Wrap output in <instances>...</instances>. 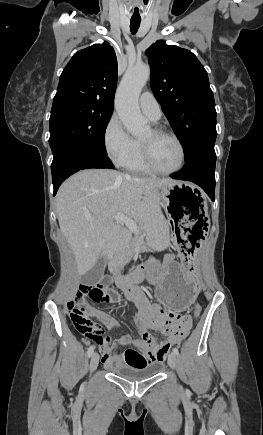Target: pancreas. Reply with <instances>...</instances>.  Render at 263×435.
I'll list each match as a JSON object with an SVG mask.
<instances>
[{
	"instance_id": "pancreas-1",
	"label": "pancreas",
	"mask_w": 263,
	"mask_h": 435,
	"mask_svg": "<svg viewBox=\"0 0 263 435\" xmlns=\"http://www.w3.org/2000/svg\"><path fill=\"white\" fill-rule=\"evenodd\" d=\"M144 236L145 233L141 230H139L138 233H135V236L131 238L127 246L115 255L111 266L112 270H117L128 262V260L133 256L136 246L143 241Z\"/></svg>"
}]
</instances>
